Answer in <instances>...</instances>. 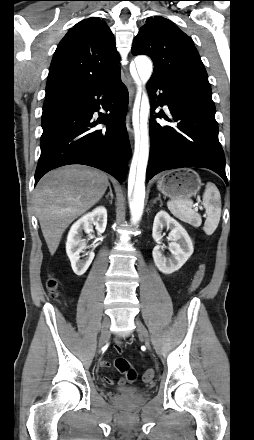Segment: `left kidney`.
<instances>
[{
    "instance_id": "obj_1",
    "label": "left kidney",
    "mask_w": 254,
    "mask_h": 440,
    "mask_svg": "<svg viewBox=\"0 0 254 440\" xmlns=\"http://www.w3.org/2000/svg\"><path fill=\"white\" fill-rule=\"evenodd\" d=\"M165 227L171 230L170 237L172 242L169 246L171 256L166 257L163 254V247L160 245L154 247L152 255L154 263L160 272L172 274L185 264L192 255L194 248L186 230L163 210L156 214L153 223L152 236L158 244L162 240V230Z\"/></svg>"
}]
</instances>
